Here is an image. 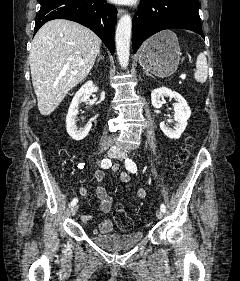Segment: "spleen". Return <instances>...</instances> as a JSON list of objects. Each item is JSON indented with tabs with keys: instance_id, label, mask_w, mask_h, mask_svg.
I'll return each instance as SVG.
<instances>
[{
	"instance_id": "3e777b00",
	"label": "spleen",
	"mask_w": 240,
	"mask_h": 281,
	"mask_svg": "<svg viewBox=\"0 0 240 281\" xmlns=\"http://www.w3.org/2000/svg\"><path fill=\"white\" fill-rule=\"evenodd\" d=\"M208 77V64L204 53H199L196 60L194 78L197 82L204 83Z\"/></svg>"
}]
</instances>
